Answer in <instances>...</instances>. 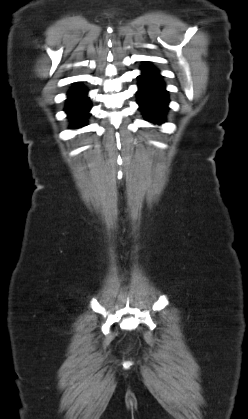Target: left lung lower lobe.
I'll return each mask as SVG.
<instances>
[{
    "label": "left lung lower lobe",
    "instance_id": "obj_1",
    "mask_svg": "<svg viewBox=\"0 0 248 419\" xmlns=\"http://www.w3.org/2000/svg\"><path fill=\"white\" fill-rule=\"evenodd\" d=\"M139 76L138 104L147 121L160 124L167 110L168 98L159 72L149 65Z\"/></svg>",
    "mask_w": 248,
    "mask_h": 419
}]
</instances>
